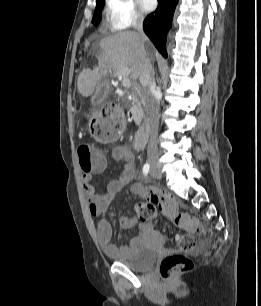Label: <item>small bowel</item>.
Segmentation results:
<instances>
[{
  "label": "small bowel",
  "mask_w": 261,
  "mask_h": 306,
  "mask_svg": "<svg viewBox=\"0 0 261 306\" xmlns=\"http://www.w3.org/2000/svg\"><path fill=\"white\" fill-rule=\"evenodd\" d=\"M115 161H124L120 174L110 180L103 194H98L92 184V177L95 173L102 172L107 161L104 159L90 171H82L81 182L87 200V209L91 216L98 217L109 209L119 192L128 184L135 175L133 152L124 144L115 146L111 152ZM131 191L138 197L143 196L142 187L139 183L131 185ZM138 217L135 215L123 216L119 219V224L124 229H130L137 225ZM113 228L106 220H101L97 226V241L104 254L112 257H123L130 253V246L118 247L112 243Z\"/></svg>",
  "instance_id": "c3829d8e"
}]
</instances>
